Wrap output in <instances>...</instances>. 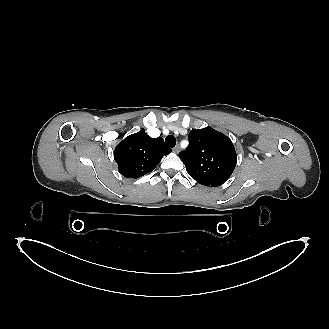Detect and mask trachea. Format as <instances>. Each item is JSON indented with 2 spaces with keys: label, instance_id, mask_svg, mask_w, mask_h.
I'll return each instance as SVG.
<instances>
[{
  "label": "trachea",
  "instance_id": "trachea-1",
  "mask_svg": "<svg viewBox=\"0 0 329 329\" xmlns=\"http://www.w3.org/2000/svg\"><path fill=\"white\" fill-rule=\"evenodd\" d=\"M165 142L166 144L169 146V147H174L176 145V139L174 136L172 135H168L166 138H165Z\"/></svg>",
  "mask_w": 329,
  "mask_h": 329
}]
</instances>
